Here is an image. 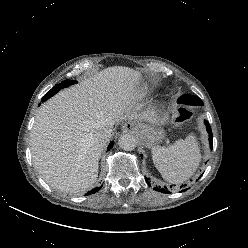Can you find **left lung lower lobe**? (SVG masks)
Masks as SVG:
<instances>
[{"label": "left lung lower lobe", "mask_w": 248, "mask_h": 248, "mask_svg": "<svg viewBox=\"0 0 248 248\" xmlns=\"http://www.w3.org/2000/svg\"><path fill=\"white\" fill-rule=\"evenodd\" d=\"M205 124L207 125V131L209 133V142H210V148L213 149V140H212V132H211V127L210 125L208 124L207 121H205ZM146 180V179H145ZM147 184L150 186V183L148 180H146ZM183 187V185L181 186ZM170 188H172V186H170ZM154 190L156 191H159V192H163V193H170L168 190H167V187L165 186L164 188H160V187H156L154 188ZM187 189H184L182 191H186Z\"/></svg>", "instance_id": "0a47b994"}]
</instances>
